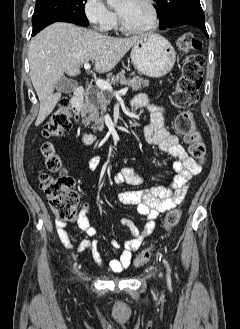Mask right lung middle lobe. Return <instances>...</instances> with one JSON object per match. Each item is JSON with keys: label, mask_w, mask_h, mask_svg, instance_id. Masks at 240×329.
<instances>
[{"label": "right lung middle lobe", "mask_w": 240, "mask_h": 329, "mask_svg": "<svg viewBox=\"0 0 240 329\" xmlns=\"http://www.w3.org/2000/svg\"><path fill=\"white\" fill-rule=\"evenodd\" d=\"M87 0H37L32 17V24L40 21L56 20L78 23L87 26L88 19L84 12Z\"/></svg>", "instance_id": "obj_1"}]
</instances>
